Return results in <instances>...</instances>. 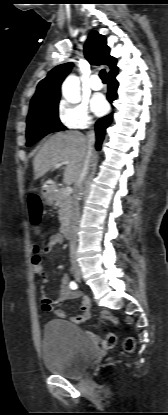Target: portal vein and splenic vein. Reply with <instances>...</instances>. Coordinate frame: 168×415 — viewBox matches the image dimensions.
<instances>
[{"label":"portal vein and splenic vein","mask_w":168,"mask_h":415,"mask_svg":"<svg viewBox=\"0 0 168 415\" xmlns=\"http://www.w3.org/2000/svg\"><path fill=\"white\" fill-rule=\"evenodd\" d=\"M68 164H69V162H68V161H63V162L55 163V164H54V167H55V168H59V167H61L62 165H68ZM72 191H73V189H72L70 186H67V187L65 188V192H66V194H71V193H72Z\"/></svg>","instance_id":"portal-vein-and-splenic-vein-1"}]
</instances>
